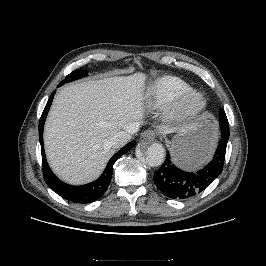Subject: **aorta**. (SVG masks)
Here are the masks:
<instances>
[{
    "label": "aorta",
    "instance_id": "1",
    "mask_svg": "<svg viewBox=\"0 0 266 266\" xmlns=\"http://www.w3.org/2000/svg\"><path fill=\"white\" fill-rule=\"evenodd\" d=\"M139 152L144 156L145 162L152 167L160 166L165 158V149L160 143H151L148 146L141 144Z\"/></svg>",
    "mask_w": 266,
    "mask_h": 266
}]
</instances>
